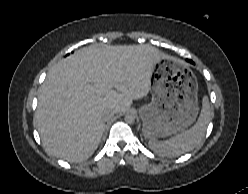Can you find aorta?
Listing matches in <instances>:
<instances>
[{"instance_id":"1","label":"aorta","mask_w":248,"mask_h":194,"mask_svg":"<svg viewBox=\"0 0 248 194\" xmlns=\"http://www.w3.org/2000/svg\"><path fill=\"white\" fill-rule=\"evenodd\" d=\"M135 118H136V116L134 114L128 113L125 115L124 120L128 124H133L135 122Z\"/></svg>"}]
</instances>
